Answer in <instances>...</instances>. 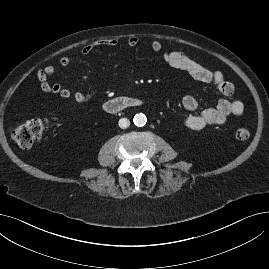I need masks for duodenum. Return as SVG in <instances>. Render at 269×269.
I'll return each instance as SVG.
<instances>
[{
	"mask_svg": "<svg viewBox=\"0 0 269 269\" xmlns=\"http://www.w3.org/2000/svg\"><path fill=\"white\" fill-rule=\"evenodd\" d=\"M143 103L144 102L138 98L119 97L106 101L103 108L107 113L115 114L128 108L140 107Z\"/></svg>",
	"mask_w": 269,
	"mask_h": 269,
	"instance_id": "1",
	"label": "duodenum"
}]
</instances>
